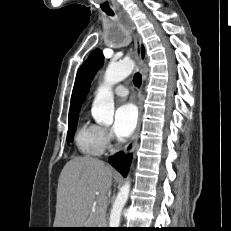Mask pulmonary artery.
Wrapping results in <instances>:
<instances>
[{
	"mask_svg": "<svg viewBox=\"0 0 231 231\" xmlns=\"http://www.w3.org/2000/svg\"><path fill=\"white\" fill-rule=\"evenodd\" d=\"M114 93L118 96L126 97L129 94V90L123 84H118L114 88Z\"/></svg>",
	"mask_w": 231,
	"mask_h": 231,
	"instance_id": "pulmonary-artery-1",
	"label": "pulmonary artery"
}]
</instances>
